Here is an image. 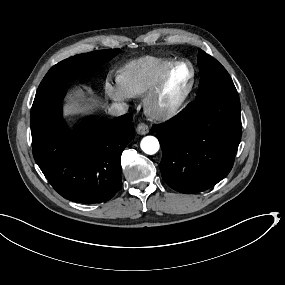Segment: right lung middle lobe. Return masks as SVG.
<instances>
[{
    "mask_svg": "<svg viewBox=\"0 0 285 285\" xmlns=\"http://www.w3.org/2000/svg\"><path fill=\"white\" fill-rule=\"evenodd\" d=\"M120 49L79 54L53 66L41 81L36 95L43 94L84 74L91 73L114 58Z\"/></svg>",
    "mask_w": 285,
    "mask_h": 285,
    "instance_id": "right-lung-middle-lobe-1",
    "label": "right lung middle lobe"
}]
</instances>
